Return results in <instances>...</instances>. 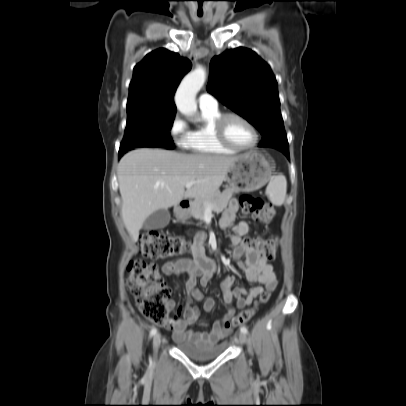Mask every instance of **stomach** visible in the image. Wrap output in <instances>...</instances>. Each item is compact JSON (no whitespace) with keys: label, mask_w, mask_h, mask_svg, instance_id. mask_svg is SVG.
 I'll return each instance as SVG.
<instances>
[{"label":"stomach","mask_w":406,"mask_h":406,"mask_svg":"<svg viewBox=\"0 0 406 406\" xmlns=\"http://www.w3.org/2000/svg\"><path fill=\"white\" fill-rule=\"evenodd\" d=\"M274 164L259 151H250L239 156L238 161L230 168L225 180L235 192H250L262 188L271 179ZM177 218L187 219L189 212L175 209Z\"/></svg>","instance_id":"0dacf381"}]
</instances>
